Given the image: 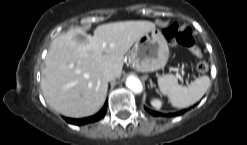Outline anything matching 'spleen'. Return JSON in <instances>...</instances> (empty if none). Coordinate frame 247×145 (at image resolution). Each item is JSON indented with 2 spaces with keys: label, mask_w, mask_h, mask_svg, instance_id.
Listing matches in <instances>:
<instances>
[{
  "label": "spleen",
  "mask_w": 247,
  "mask_h": 145,
  "mask_svg": "<svg viewBox=\"0 0 247 145\" xmlns=\"http://www.w3.org/2000/svg\"><path fill=\"white\" fill-rule=\"evenodd\" d=\"M158 86L163 95H166L172 106L186 108L199 101L210 86V79L204 75L197 78L189 86L178 84L177 78L167 74L158 78Z\"/></svg>",
  "instance_id": "spleen-1"
}]
</instances>
